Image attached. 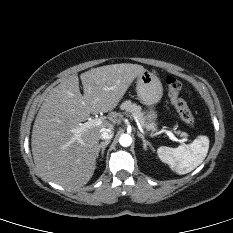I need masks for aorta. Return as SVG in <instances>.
Returning <instances> with one entry per match:
<instances>
[{
	"label": "aorta",
	"mask_w": 233,
	"mask_h": 233,
	"mask_svg": "<svg viewBox=\"0 0 233 233\" xmlns=\"http://www.w3.org/2000/svg\"><path fill=\"white\" fill-rule=\"evenodd\" d=\"M119 143L123 147H128L132 143V137L128 134H123L119 138Z\"/></svg>",
	"instance_id": "obj_1"
}]
</instances>
